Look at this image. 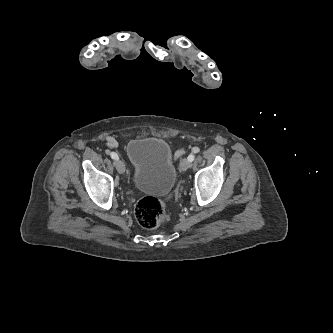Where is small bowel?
Returning <instances> with one entry per match:
<instances>
[{"label":"small bowel","instance_id":"small-bowel-1","mask_svg":"<svg viewBox=\"0 0 333 333\" xmlns=\"http://www.w3.org/2000/svg\"><path fill=\"white\" fill-rule=\"evenodd\" d=\"M106 144L108 147H114L116 145V141L112 137H107ZM182 154V151H178L176 153V158L179 157Z\"/></svg>","mask_w":333,"mask_h":333}]
</instances>
